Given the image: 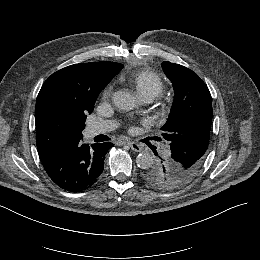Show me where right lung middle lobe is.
<instances>
[{
  "instance_id": "obj_1",
  "label": "right lung middle lobe",
  "mask_w": 260,
  "mask_h": 260,
  "mask_svg": "<svg viewBox=\"0 0 260 260\" xmlns=\"http://www.w3.org/2000/svg\"><path fill=\"white\" fill-rule=\"evenodd\" d=\"M97 95L85 94L73 106L69 118L75 121L82 129L85 127L86 115L92 113Z\"/></svg>"
}]
</instances>
